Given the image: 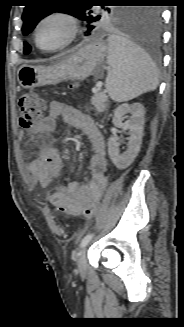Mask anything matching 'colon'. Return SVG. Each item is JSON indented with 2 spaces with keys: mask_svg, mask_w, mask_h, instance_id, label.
Instances as JSON below:
<instances>
[{
  "mask_svg": "<svg viewBox=\"0 0 184 327\" xmlns=\"http://www.w3.org/2000/svg\"><path fill=\"white\" fill-rule=\"evenodd\" d=\"M45 101L38 94L28 92L19 100V123L23 129H31L38 124L45 111ZM57 212H66L63 206H54ZM97 211V205L92 204L85 207L82 211L84 217H92Z\"/></svg>",
  "mask_w": 184,
  "mask_h": 327,
  "instance_id": "colon-1",
  "label": "colon"
}]
</instances>
